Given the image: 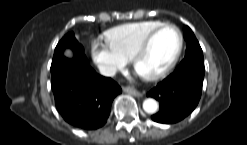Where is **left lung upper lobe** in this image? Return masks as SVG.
Segmentation results:
<instances>
[{
	"label": "left lung upper lobe",
	"instance_id": "5c2ea615",
	"mask_svg": "<svg viewBox=\"0 0 247 145\" xmlns=\"http://www.w3.org/2000/svg\"><path fill=\"white\" fill-rule=\"evenodd\" d=\"M184 39L187 42L185 57L190 55H203L202 49L192 30L185 26L183 30Z\"/></svg>",
	"mask_w": 247,
	"mask_h": 145
}]
</instances>
